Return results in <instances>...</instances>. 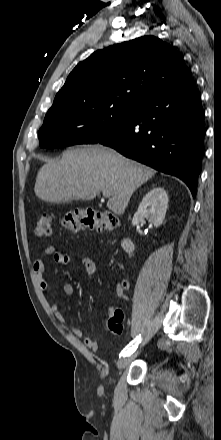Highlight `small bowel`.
Wrapping results in <instances>:
<instances>
[{
    "mask_svg": "<svg viewBox=\"0 0 221 440\" xmlns=\"http://www.w3.org/2000/svg\"><path fill=\"white\" fill-rule=\"evenodd\" d=\"M45 253L48 256H51L53 261L58 265H66L73 261V258L67 254H64L62 252L57 251L53 246H48L45 249ZM80 263L85 269V272L88 276H92L96 271V265L94 261L87 257L80 258ZM33 271L34 274L38 280L39 286L43 291L49 290V284L48 282L43 278V274L45 272V263L43 259L37 258L33 263ZM129 284L127 280H122L117 284L116 287V293L119 297L123 296L124 291L128 288ZM62 292L66 296H72L75 292L73 284L66 282L62 285ZM51 311L53 312L54 316L60 323L66 322V317L63 314L62 311H60L57 304L51 305ZM115 304H110L107 308V312L112 313L116 309ZM72 334L77 338H82L84 345L92 350L96 351L98 349V343L96 340L89 336H84L83 331L81 328L74 327L72 328Z\"/></svg>",
    "mask_w": 221,
    "mask_h": 440,
    "instance_id": "1",
    "label": "small bowel"
}]
</instances>
